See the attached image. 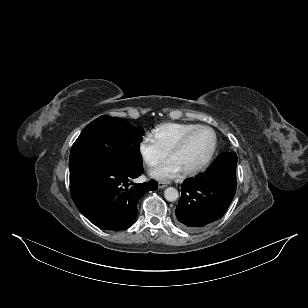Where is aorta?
Instances as JSON below:
<instances>
[{
    "label": "aorta",
    "mask_w": 308,
    "mask_h": 308,
    "mask_svg": "<svg viewBox=\"0 0 308 308\" xmlns=\"http://www.w3.org/2000/svg\"><path fill=\"white\" fill-rule=\"evenodd\" d=\"M179 193L178 190L174 187H168L164 191V197L167 201L173 202L178 199Z\"/></svg>",
    "instance_id": "aorta-1"
}]
</instances>
